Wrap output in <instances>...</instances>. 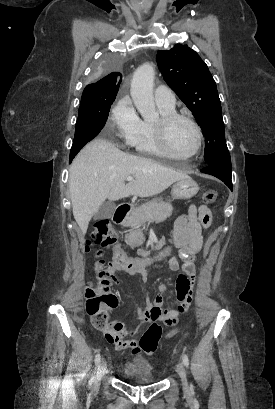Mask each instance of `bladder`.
<instances>
[{
  "mask_svg": "<svg viewBox=\"0 0 275 409\" xmlns=\"http://www.w3.org/2000/svg\"><path fill=\"white\" fill-rule=\"evenodd\" d=\"M122 374L125 380L131 383L154 384L156 383L155 374L151 365L144 361H130L124 364Z\"/></svg>",
  "mask_w": 275,
  "mask_h": 409,
  "instance_id": "obj_1",
  "label": "bladder"
}]
</instances>
